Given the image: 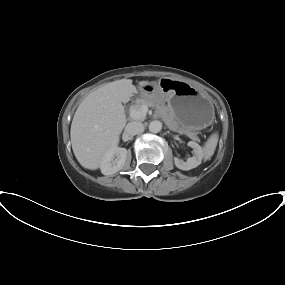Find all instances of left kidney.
<instances>
[{"instance_id": "5707ae66", "label": "left kidney", "mask_w": 285, "mask_h": 285, "mask_svg": "<svg viewBox=\"0 0 285 285\" xmlns=\"http://www.w3.org/2000/svg\"><path fill=\"white\" fill-rule=\"evenodd\" d=\"M187 145L193 149V157L188 158L186 162L176 157L174 158L176 167L181 170H190L196 168L201 164L203 158V150L199 144L194 141H190Z\"/></svg>"}]
</instances>
